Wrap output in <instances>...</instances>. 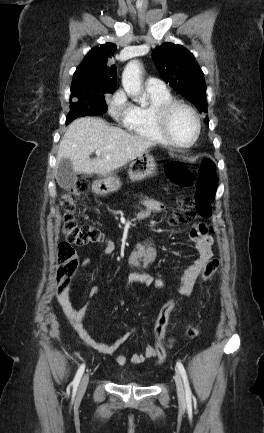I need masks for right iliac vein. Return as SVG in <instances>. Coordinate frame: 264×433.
<instances>
[{"instance_id":"right-iliac-vein-1","label":"right iliac vein","mask_w":264,"mask_h":433,"mask_svg":"<svg viewBox=\"0 0 264 433\" xmlns=\"http://www.w3.org/2000/svg\"><path fill=\"white\" fill-rule=\"evenodd\" d=\"M88 382H89V373H86L81 379L79 389H78V394H77L78 397H81L85 393Z\"/></svg>"}]
</instances>
